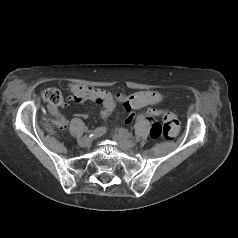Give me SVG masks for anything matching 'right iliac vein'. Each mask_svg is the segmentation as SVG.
Masks as SVG:
<instances>
[{"instance_id": "1", "label": "right iliac vein", "mask_w": 238, "mask_h": 238, "mask_svg": "<svg viewBox=\"0 0 238 238\" xmlns=\"http://www.w3.org/2000/svg\"><path fill=\"white\" fill-rule=\"evenodd\" d=\"M90 144H91V139H90V137H87V136L81 138L79 141V145L81 147H88V146H90Z\"/></svg>"}]
</instances>
